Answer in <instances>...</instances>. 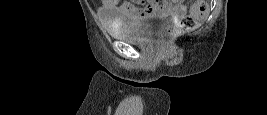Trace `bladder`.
<instances>
[{"instance_id":"1","label":"bladder","mask_w":267,"mask_h":115,"mask_svg":"<svg viewBox=\"0 0 267 115\" xmlns=\"http://www.w3.org/2000/svg\"><path fill=\"white\" fill-rule=\"evenodd\" d=\"M168 23V17L161 14H145L136 22L109 25L106 27L108 33L117 39L128 42H144L159 33Z\"/></svg>"}]
</instances>
